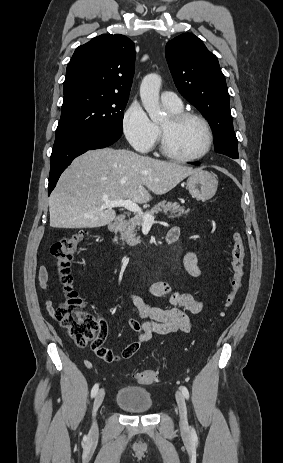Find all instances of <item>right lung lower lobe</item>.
<instances>
[{"label": "right lung lower lobe", "instance_id": "obj_1", "mask_svg": "<svg viewBox=\"0 0 283 463\" xmlns=\"http://www.w3.org/2000/svg\"><path fill=\"white\" fill-rule=\"evenodd\" d=\"M121 135L99 129H84L57 136L50 158L48 195L56 186L61 173L77 156L90 149H99L115 143Z\"/></svg>", "mask_w": 283, "mask_h": 463}]
</instances>
